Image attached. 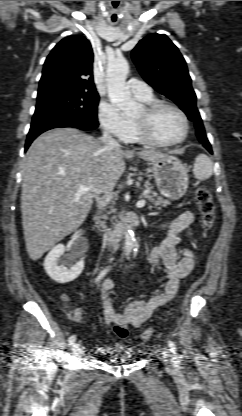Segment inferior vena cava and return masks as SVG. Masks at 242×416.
<instances>
[{"instance_id": "inferior-vena-cava-1", "label": "inferior vena cava", "mask_w": 242, "mask_h": 416, "mask_svg": "<svg viewBox=\"0 0 242 416\" xmlns=\"http://www.w3.org/2000/svg\"><path fill=\"white\" fill-rule=\"evenodd\" d=\"M101 141L106 145V147H117L119 146L118 142L109 134V132L104 131ZM103 207H100L102 209ZM109 233L105 234V239L107 240Z\"/></svg>"}]
</instances>
